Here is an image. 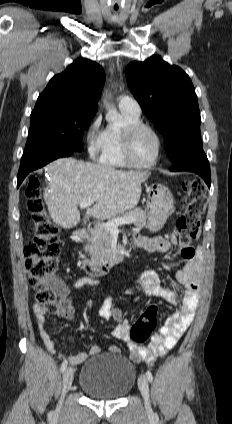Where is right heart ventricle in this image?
Returning <instances> with one entry per match:
<instances>
[{"label":"right heart ventricle","instance_id":"obj_1","mask_svg":"<svg viewBox=\"0 0 232 424\" xmlns=\"http://www.w3.org/2000/svg\"><path fill=\"white\" fill-rule=\"evenodd\" d=\"M121 111L122 121L119 125L109 124L102 131V150L99 162L109 167H128L123 154V130L126 126L141 121L140 114Z\"/></svg>","mask_w":232,"mask_h":424}]
</instances>
